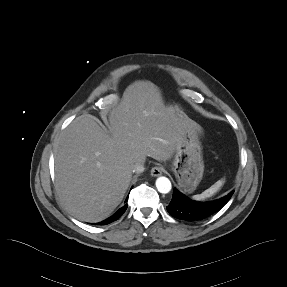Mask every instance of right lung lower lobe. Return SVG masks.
Segmentation results:
<instances>
[{
	"label": "right lung lower lobe",
	"mask_w": 287,
	"mask_h": 287,
	"mask_svg": "<svg viewBox=\"0 0 287 287\" xmlns=\"http://www.w3.org/2000/svg\"><path fill=\"white\" fill-rule=\"evenodd\" d=\"M127 202V200L125 201ZM127 209V204H125L123 207H121L115 214H113L111 217L107 218L106 220H103L100 222L101 225H107L109 223H112L116 220H118L126 211Z\"/></svg>",
	"instance_id": "1"
}]
</instances>
